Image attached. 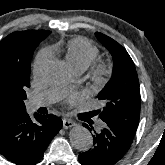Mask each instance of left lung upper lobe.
I'll return each mask as SVG.
<instances>
[{
    "instance_id": "5c2ea615",
    "label": "left lung upper lobe",
    "mask_w": 165,
    "mask_h": 165,
    "mask_svg": "<svg viewBox=\"0 0 165 165\" xmlns=\"http://www.w3.org/2000/svg\"><path fill=\"white\" fill-rule=\"evenodd\" d=\"M95 35L111 53L114 62L112 77L97 96L104 104L97 114L105 123L135 134L140 109L139 80L135 65L119 43L102 33L96 32Z\"/></svg>"
}]
</instances>
